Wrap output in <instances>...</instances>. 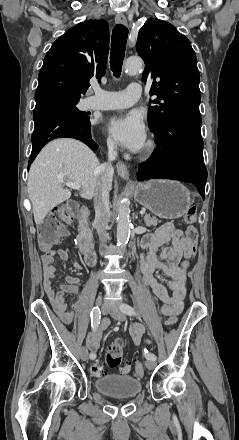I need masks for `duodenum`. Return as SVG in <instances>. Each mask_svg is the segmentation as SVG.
<instances>
[{
	"label": "duodenum",
	"mask_w": 239,
	"mask_h": 440,
	"mask_svg": "<svg viewBox=\"0 0 239 440\" xmlns=\"http://www.w3.org/2000/svg\"><path fill=\"white\" fill-rule=\"evenodd\" d=\"M90 210L87 206H83L79 212L77 244L81 253L84 255L85 261L92 266L95 262V251L93 246L92 232L88 225V217Z\"/></svg>",
	"instance_id": "1"
}]
</instances>
